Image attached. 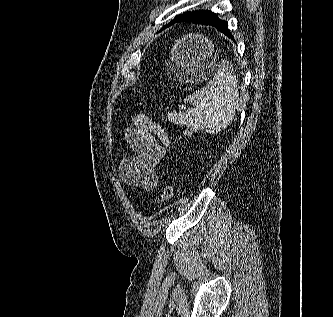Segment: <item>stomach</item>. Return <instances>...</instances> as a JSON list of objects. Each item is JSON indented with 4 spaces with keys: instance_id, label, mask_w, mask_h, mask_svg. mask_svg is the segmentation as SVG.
<instances>
[{
    "instance_id": "0dacf381",
    "label": "stomach",
    "mask_w": 333,
    "mask_h": 317,
    "mask_svg": "<svg viewBox=\"0 0 333 317\" xmlns=\"http://www.w3.org/2000/svg\"><path fill=\"white\" fill-rule=\"evenodd\" d=\"M211 42L203 35H187L178 39L171 49L170 66L176 78H181L179 88H202V82L212 81L216 69H223V62H210Z\"/></svg>"
}]
</instances>
